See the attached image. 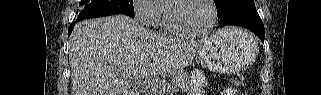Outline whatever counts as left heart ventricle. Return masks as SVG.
Segmentation results:
<instances>
[{
  "mask_svg": "<svg viewBox=\"0 0 321 95\" xmlns=\"http://www.w3.org/2000/svg\"><path fill=\"white\" fill-rule=\"evenodd\" d=\"M174 17L180 26L201 31L210 25L212 10L205 0H190L175 9Z\"/></svg>",
  "mask_w": 321,
  "mask_h": 95,
  "instance_id": "b2bd125f",
  "label": "left heart ventricle"
}]
</instances>
